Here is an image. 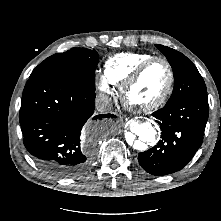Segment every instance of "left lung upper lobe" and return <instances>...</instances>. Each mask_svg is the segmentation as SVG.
<instances>
[{"instance_id": "1", "label": "left lung upper lobe", "mask_w": 221, "mask_h": 221, "mask_svg": "<svg viewBox=\"0 0 221 221\" xmlns=\"http://www.w3.org/2000/svg\"><path fill=\"white\" fill-rule=\"evenodd\" d=\"M168 59L174 74V90L168 103L186 98L191 94L207 93L206 85L196 66L182 53L156 44Z\"/></svg>"}]
</instances>
